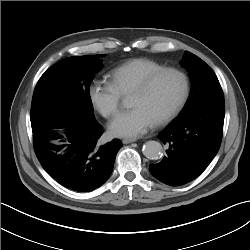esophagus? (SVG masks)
I'll use <instances>...</instances> for the list:
<instances>
[{"label":"esophagus","instance_id":"obj_1","mask_svg":"<svg viewBox=\"0 0 250 250\" xmlns=\"http://www.w3.org/2000/svg\"><path fill=\"white\" fill-rule=\"evenodd\" d=\"M135 141H137V140L136 139H132V138H124L122 140V143L123 144H129V143H132V142H135Z\"/></svg>","mask_w":250,"mask_h":250}]
</instances>
